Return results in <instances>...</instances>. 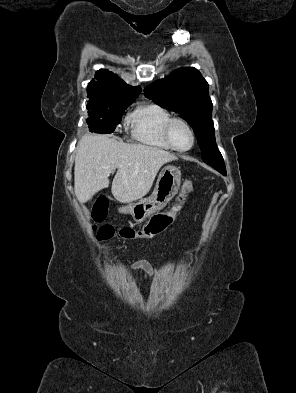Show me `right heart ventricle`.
I'll return each mask as SVG.
<instances>
[{"label": "right heart ventricle", "instance_id": "obj_1", "mask_svg": "<svg viewBox=\"0 0 296 393\" xmlns=\"http://www.w3.org/2000/svg\"><path fill=\"white\" fill-rule=\"evenodd\" d=\"M171 118L170 111L159 104L138 106L130 115L132 138L150 147L171 150L164 137L165 125Z\"/></svg>", "mask_w": 296, "mask_h": 393}]
</instances>
